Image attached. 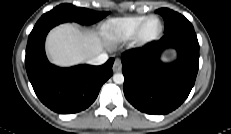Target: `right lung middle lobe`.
Listing matches in <instances>:
<instances>
[{
	"label": "right lung middle lobe",
	"instance_id": "dd1d6c3e",
	"mask_svg": "<svg viewBox=\"0 0 231 134\" xmlns=\"http://www.w3.org/2000/svg\"><path fill=\"white\" fill-rule=\"evenodd\" d=\"M108 13L109 12H96L65 3L45 13L36 24L54 21H74L80 24H93L104 18Z\"/></svg>",
	"mask_w": 231,
	"mask_h": 134
}]
</instances>
